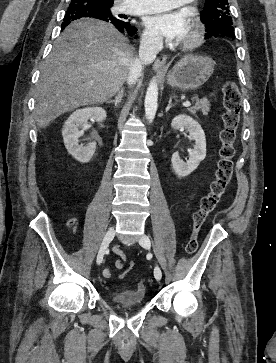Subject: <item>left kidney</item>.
<instances>
[{
	"label": "left kidney",
	"mask_w": 276,
	"mask_h": 363,
	"mask_svg": "<svg viewBox=\"0 0 276 363\" xmlns=\"http://www.w3.org/2000/svg\"><path fill=\"white\" fill-rule=\"evenodd\" d=\"M171 127L174 130L186 128L191 138L195 140L193 149L189 153V159L184 162L178 152H174L171 158L172 167L178 177H186L191 174L200 162L206 157V138L201 125L192 117L187 115H178L173 118Z\"/></svg>",
	"instance_id": "left-kidney-1"
}]
</instances>
